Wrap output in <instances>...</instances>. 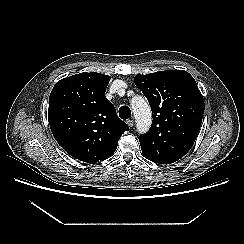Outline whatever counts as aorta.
I'll return each mask as SVG.
<instances>
[{"instance_id":"obj_1","label":"aorta","mask_w":244,"mask_h":244,"mask_svg":"<svg viewBox=\"0 0 244 244\" xmlns=\"http://www.w3.org/2000/svg\"><path fill=\"white\" fill-rule=\"evenodd\" d=\"M131 107L136 119L137 130L147 132L151 126L152 113L149 104L141 96H136L131 101Z\"/></svg>"}]
</instances>
